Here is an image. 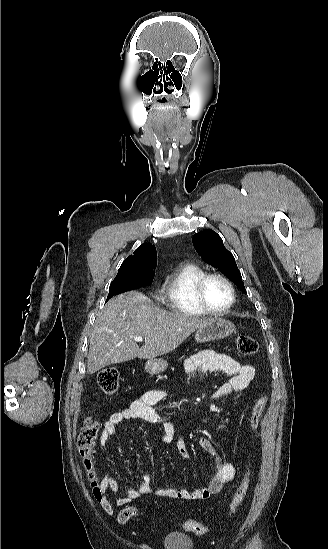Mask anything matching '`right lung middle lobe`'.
<instances>
[{
    "mask_svg": "<svg viewBox=\"0 0 328 549\" xmlns=\"http://www.w3.org/2000/svg\"><path fill=\"white\" fill-rule=\"evenodd\" d=\"M156 263H144L119 271L109 287L107 300L114 295L150 284L155 275Z\"/></svg>",
    "mask_w": 328,
    "mask_h": 549,
    "instance_id": "right-lung-middle-lobe-1",
    "label": "right lung middle lobe"
}]
</instances>
